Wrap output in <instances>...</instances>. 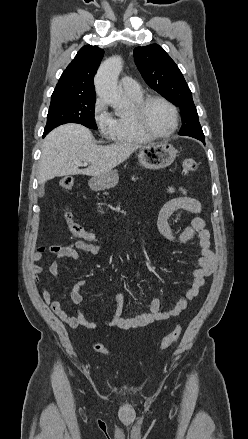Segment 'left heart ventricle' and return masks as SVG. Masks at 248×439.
<instances>
[{
  "label": "left heart ventricle",
  "mask_w": 248,
  "mask_h": 439,
  "mask_svg": "<svg viewBox=\"0 0 248 439\" xmlns=\"http://www.w3.org/2000/svg\"><path fill=\"white\" fill-rule=\"evenodd\" d=\"M146 121L151 130L165 134L173 127V115L170 108L160 101L151 102L146 110Z\"/></svg>",
  "instance_id": "b2bd125f"
}]
</instances>
